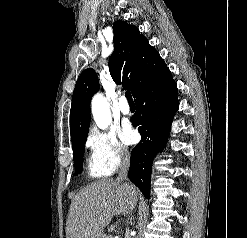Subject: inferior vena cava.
Returning a JSON list of instances; mask_svg holds the SVG:
<instances>
[{"instance_id": "inferior-vena-cava-1", "label": "inferior vena cava", "mask_w": 247, "mask_h": 238, "mask_svg": "<svg viewBox=\"0 0 247 238\" xmlns=\"http://www.w3.org/2000/svg\"><path fill=\"white\" fill-rule=\"evenodd\" d=\"M121 165L118 171L117 181L127 180L128 169L130 165V154L127 150H121Z\"/></svg>"}]
</instances>
